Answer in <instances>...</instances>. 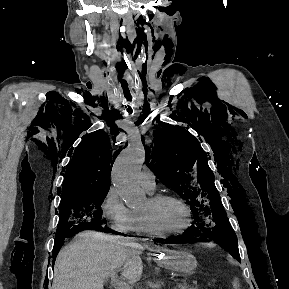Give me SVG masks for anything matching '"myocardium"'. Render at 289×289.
Instances as JSON below:
<instances>
[{
  "instance_id": "1",
  "label": "myocardium",
  "mask_w": 289,
  "mask_h": 289,
  "mask_svg": "<svg viewBox=\"0 0 289 289\" xmlns=\"http://www.w3.org/2000/svg\"><path fill=\"white\" fill-rule=\"evenodd\" d=\"M167 200L175 201L184 208V210L186 211V214H187V223L182 229L177 230V231H162V230L158 229L157 227H155L152 220L150 219V217L146 213L139 211V214H140L142 222L145 226V229L151 235H154L157 237H170V236L181 235V234L185 233L190 228V226L192 224L191 209H190L189 205L182 198H180L176 195H173V194H166V193L154 194V195H151L149 197V201L152 204H159V203H161L163 201H167Z\"/></svg>"
}]
</instances>
